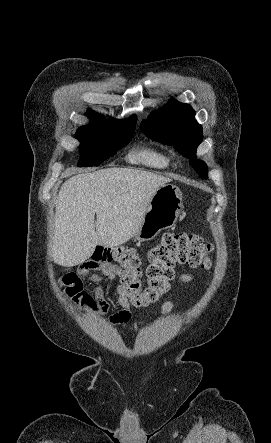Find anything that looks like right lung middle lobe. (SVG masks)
<instances>
[{"mask_svg": "<svg viewBox=\"0 0 271 443\" xmlns=\"http://www.w3.org/2000/svg\"><path fill=\"white\" fill-rule=\"evenodd\" d=\"M94 123L82 126L76 133L80 145V160L78 166H95L119 149L126 146L136 126V120H102L95 119Z\"/></svg>", "mask_w": 271, "mask_h": 443, "instance_id": "dd1d6c3e", "label": "right lung middle lobe"}]
</instances>
